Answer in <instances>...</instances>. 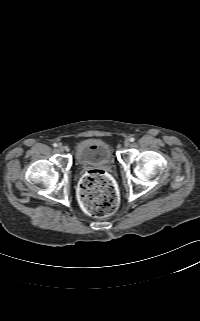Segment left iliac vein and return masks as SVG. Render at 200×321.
Wrapping results in <instances>:
<instances>
[{
    "mask_svg": "<svg viewBox=\"0 0 200 321\" xmlns=\"http://www.w3.org/2000/svg\"><path fill=\"white\" fill-rule=\"evenodd\" d=\"M124 145H125L126 147H128V146L130 145V140H129V139H126V140L124 141Z\"/></svg>",
    "mask_w": 200,
    "mask_h": 321,
    "instance_id": "left-iliac-vein-1",
    "label": "left iliac vein"
}]
</instances>
